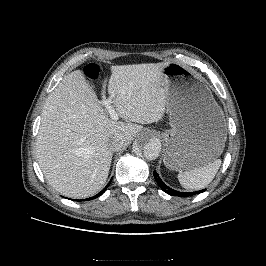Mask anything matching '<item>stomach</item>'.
<instances>
[{
	"instance_id": "1",
	"label": "stomach",
	"mask_w": 266,
	"mask_h": 266,
	"mask_svg": "<svg viewBox=\"0 0 266 266\" xmlns=\"http://www.w3.org/2000/svg\"><path fill=\"white\" fill-rule=\"evenodd\" d=\"M163 74L171 126L162 133L164 164L180 172L203 167L216 160L225 147L224 113L195 71L172 62Z\"/></svg>"
}]
</instances>
